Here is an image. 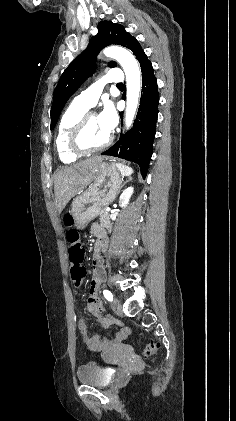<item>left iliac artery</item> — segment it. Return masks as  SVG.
<instances>
[{"mask_svg":"<svg viewBox=\"0 0 236 421\" xmlns=\"http://www.w3.org/2000/svg\"><path fill=\"white\" fill-rule=\"evenodd\" d=\"M103 294L108 301H113V295L109 290H104Z\"/></svg>","mask_w":236,"mask_h":421,"instance_id":"44dca946","label":"left iliac artery"}]
</instances>
